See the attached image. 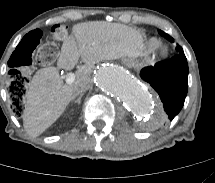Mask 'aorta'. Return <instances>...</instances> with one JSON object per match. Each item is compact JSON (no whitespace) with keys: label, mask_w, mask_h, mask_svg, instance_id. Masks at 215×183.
Returning <instances> with one entry per match:
<instances>
[{"label":"aorta","mask_w":215,"mask_h":183,"mask_svg":"<svg viewBox=\"0 0 215 183\" xmlns=\"http://www.w3.org/2000/svg\"><path fill=\"white\" fill-rule=\"evenodd\" d=\"M94 83L103 93L119 99L139 118L154 121L159 110L146 88L124 69L113 65L100 66Z\"/></svg>","instance_id":"aorta-1"}]
</instances>
